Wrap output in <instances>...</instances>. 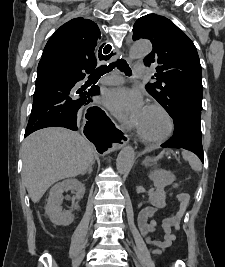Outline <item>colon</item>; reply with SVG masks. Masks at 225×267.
I'll return each mask as SVG.
<instances>
[{
	"label": "colon",
	"instance_id": "1",
	"mask_svg": "<svg viewBox=\"0 0 225 267\" xmlns=\"http://www.w3.org/2000/svg\"><path fill=\"white\" fill-rule=\"evenodd\" d=\"M187 204H188L187 199H186V198H183V199L181 200L180 207H181V208H186Z\"/></svg>",
	"mask_w": 225,
	"mask_h": 267
}]
</instances>
